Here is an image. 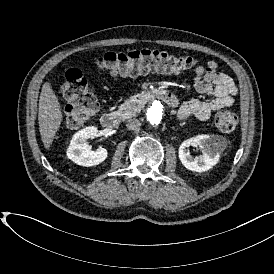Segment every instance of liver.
<instances>
[{
	"mask_svg": "<svg viewBox=\"0 0 274 274\" xmlns=\"http://www.w3.org/2000/svg\"><path fill=\"white\" fill-rule=\"evenodd\" d=\"M63 107L50 81L44 82L40 99L38 124L43 146L51 148L54 138L63 122Z\"/></svg>",
	"mask_w": 274,
	"mask_h": 274,
	"instance_id": "1",
	"label": "liver"
}]
</instances>
